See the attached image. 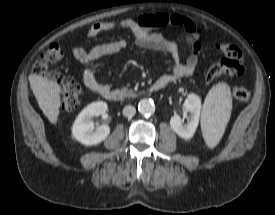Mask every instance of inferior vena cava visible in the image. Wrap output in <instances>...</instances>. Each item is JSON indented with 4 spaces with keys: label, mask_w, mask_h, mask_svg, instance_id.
<instances>
[{
    "label": "inferior vena cava",
    "mask_w": 275,
    "mask_h": 215,
    "mask_svg": "<svg viewBox=\"0 0 275 215\" xmlns=\"http://www.w3.org/2000/svg\"><path fill=\"white\" fill-rule=\"evenodd\" d=\"M135 113H136V109H135V107L132 106V105H127V106H125V107L123 108V115H124L125 117L131 118V117H133V116L135 115Z\"/></svg>",
    "instance_id": "1"
}]
</instances>
